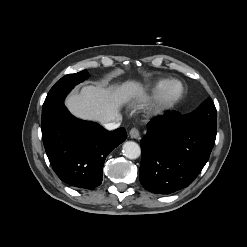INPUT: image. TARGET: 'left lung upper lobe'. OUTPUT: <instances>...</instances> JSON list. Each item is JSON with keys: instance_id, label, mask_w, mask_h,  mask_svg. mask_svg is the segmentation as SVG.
Returning <instances> with one entry per match:
<instances>
[{"instance_id": "1", "label": "left lung upper lobe", "mask_w": 247, "mask_h": 247, "mask_svg": "<svg viewBox=\"0 0 247 247\" xmlns=\"http://www.w3.org/2000/svg\"><path fill=\"white\" fill-rule=\"evenodd\" d=\"M216 117L215 105L208 98L195 111L185 115V121L194 126L216 130Z\"/></svg>"}]
</instances>
